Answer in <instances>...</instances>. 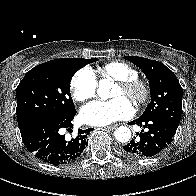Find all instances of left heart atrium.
I'll return each mask as SVG.
<instances>
[{
	"instance_id": "39dd6f15",
	"label": "left heart atrium",
	"mask_w": 196,
	"mask_h": 196,
	"mask_svg": "<svg viewBox=\"0 0 196 196\" xmlns=\"http://www.w3.org/2000/svg\"><path fill=\"white\" fill-rule=\"evenodd\" d=\"M134 113V108L124 97L108 101H93L80 111L81 120L93 126H106L115 121L127 119Z\"/></svg>"
}]
</instances>
